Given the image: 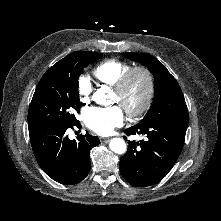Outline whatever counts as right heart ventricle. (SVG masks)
Listing matches in <instances>:
<instances>
[{
  "label": "right heart ventricle",
  "mask_w": 221,
  "mask_h": 221,
  "mask_svg": "<svg viewBox=\"0 0 221 221\" xmlns=\"http://www.w3.org/2000/svg\"><path fill=\"white\" fill-rule=\"evenodd\" d=\"M130 68L131 65L128 62L107 59L95 66L93 75L101 83L114 87Z\"/></svg>",
  "instance_id": "1"
}]
</instances>
